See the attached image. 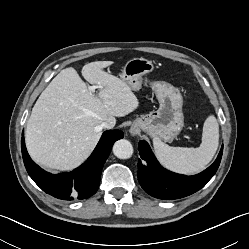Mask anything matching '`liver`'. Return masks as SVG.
<instances>
[{
	"mask_svg": "<svg viewBox=\"0 0 249 249\" xmlns=\"http://www.w3.org/2000/svg\"><path fill=\"white\" fill-rule=\"evenodd\" d=\"M112 64L96 61L82 68L84 79L100 87L98 95L72 67L61 70L41 93L25 131L36 163L60 171L78 167L98 143L103 122L115 125L116 117L137 109L139 101L129 85L103 70Z\"/></svg>",
	"mask_w": 249,
	"mask_h": 249,
	"instance_id": "liver-1",
	"label": "liver"
}]
</instances>
